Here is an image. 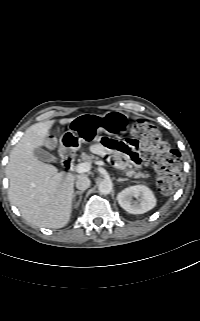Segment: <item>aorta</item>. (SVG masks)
Returning <instances> with one entry per match:
<instances>
[{"mask_svg": "<svg viewBox=\"0 0 200 321\" xmlns=\"http://www.w3.org/2000/svg\"><path fill=\"white\" fill-rule=\"evenodd\" d=\"M112 188H113L112 182L109 180L102 181L98 187L99 192L104 195L109 194L112 191Z\"/></svg>", "mask_w": 200, "mask_h": 321, "instance_id": "762f6f07", "label": "aorta"}]
</instances>
